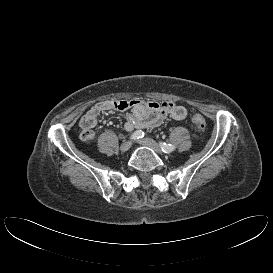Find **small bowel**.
I'll return each instance as SVG.
<instances>
[{
	"instance_id": "c3829d8e",
	"label": "small bowel",
	"mask_w": 273,
	"mask_h": 273,
	"mask_svg": "<svg viewBox=\"0 0 273 273\" xmlns=\"http://www.w3.org/2000/svg\"><path fill=\"white\" fill-rule=\"evenodd\" d=\"M104 111L126 112L124 128L130 132L134 129H152L160 125L165 119L183 120L188 111L185 107L173 102L138 100H107L95 104L80 119V138L83 141H91L95 137L94 127L98 117Z\"/></svg>"
}]
</instances>
